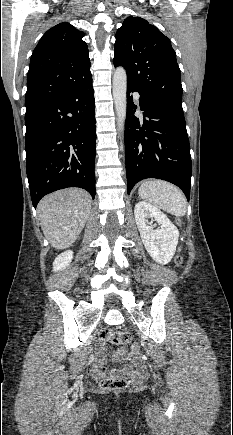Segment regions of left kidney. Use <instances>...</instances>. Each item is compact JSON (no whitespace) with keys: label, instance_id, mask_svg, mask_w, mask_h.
I'll use <instances>...</instances> for the list:
<instances>
[{"label":"left kidney","instance_id":"5707ae66","mask_svg":"<svg viewBox=\"0 0 233 435\" xmlns=\"http://www.w3.org/2000/svg\"><path fill=\"white\" fill-rule=\"evenodd\" d=\"M134 215L143 244L149 255L160 264H168L178 244L179 231L169 218L150 203L140 201L135 205ZM154 219L161 227L154 229L148 223Z\"/></svg>","mask_w":233,"mask_h":435}]
</instances>
